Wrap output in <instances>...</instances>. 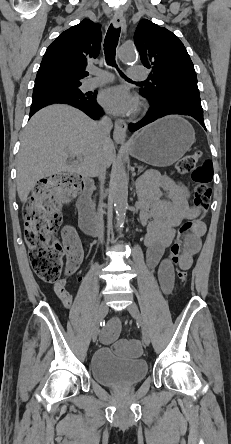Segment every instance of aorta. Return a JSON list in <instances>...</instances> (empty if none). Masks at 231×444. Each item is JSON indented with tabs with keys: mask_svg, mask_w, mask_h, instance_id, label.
Here are the masks:
<instances>
[{
	"mask_svg": "<svg viewBox=\"0 0 231 444\" xmlns=\"http://www.w3.org/2000/svg\"><path fill=\"white\" fill-rule=\"evenodd\" d=\"M119 56L124 62H133L137 59V54L133 48L122 47ZM113 198L116 221L119 229L124 224L126 211L128 208V176L123 160H118L113 170Z\"/></svg>",
	"mask_w": 231,
	"mask_h": 444,
	"instance_id": "1",
	"label": "aorta"
}]
</instances>
